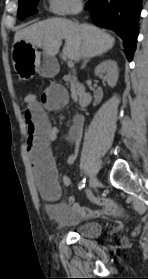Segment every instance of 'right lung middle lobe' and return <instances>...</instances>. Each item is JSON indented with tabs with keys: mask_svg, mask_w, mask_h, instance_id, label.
Returning a JSON list of instances; mask_svg holds the SVG:
<instances>
[{
	"mask_svg": "<svg viewBox=\"0 0 148 279\" xmlns=\"http://www.w3.org/2000/svg\"><path fill=\"white\" fill-rule=\"evenodd\" d=\"M39 0H19L18 13L19 19H24L27 16L36 12V5Z\"/></svg>",
	"mask_w": 148,
	"mask_h": 279,
	"instance_id": "right-lung-middle-lobe-1",
	"label": "right lung middle lobe"
}]
</instances>
